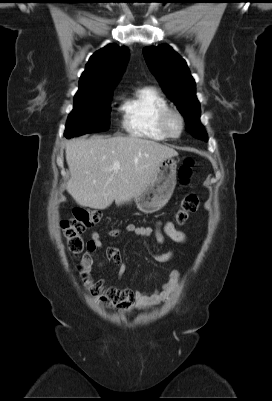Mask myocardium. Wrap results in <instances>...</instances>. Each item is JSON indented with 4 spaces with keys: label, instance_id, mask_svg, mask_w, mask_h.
Wrapping results in <instances>:
<instances>
[{
    "label": "myocardium",
    "instance_id": "1",
    "mask_svg": "<svg viewBox=\"0 0 272 401\" xmlns=\"http://www.w3.org/2000/svg\"><path fill=\"white\" fill-rule=\"evenodd\" d=\"M172 119H176L178 123L177 132H174L172 130L171 127ZM160 124L166 135L174 139L179 138L183 134L185 128L184 116L179 110L172 107H168L162 112L160 116Z\"/></svg>",
    "mask_w": 272,
    "mask_h": 401
}]
</instances>
